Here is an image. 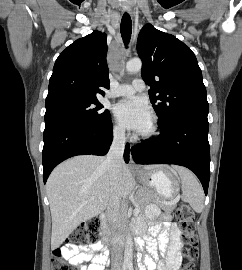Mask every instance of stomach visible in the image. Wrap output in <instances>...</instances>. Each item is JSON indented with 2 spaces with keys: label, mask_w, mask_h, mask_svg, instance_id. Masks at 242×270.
<instances>
[{
  "label": "stomach",
  "mask_w": 242,
  "mask_h": 270,
  "mask_svg": "<svg viewBox=\"0 0 242 270\" xmlns=\"http://www.w3.org/2000/svg\"><path fill=\"white\" fill-rule=\"evenodd\" d=\"M139 180L161 198L171 199L178 194V176L168 166H157L151 170L141 172Z\"/></svg>",
  "instance_id": "obj_1"
}]
</instances>
